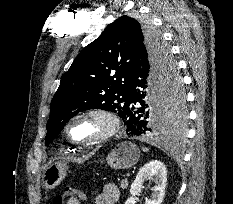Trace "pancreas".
Returning <instances> with one entry per match:
<instances>
[{
  "label": "pancreas",
  "instance_id": "pancreas-1",
  "mask_svg": "<svg viewBox=\"0 0 233 204\" xmlns=\"http://www.w3.org/2000/svg\"><path fill=\"white\" fill-rule=\"evenodd\" d=\"M127 186H128V182H127V180L125 179V180H122L121 181V185H120V187L122 188V189H126L127 188Z\"/></svg>",
  "mask_w": 233,
  "mask_h": 204
}]
</instances>
